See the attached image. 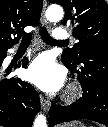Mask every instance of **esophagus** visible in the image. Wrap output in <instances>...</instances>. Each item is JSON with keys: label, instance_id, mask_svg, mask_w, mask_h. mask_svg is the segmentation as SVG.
<instances>
[{"label": "esophagus", "instance_id": "esophagus-1", "mask_svg": "<svg viewBox=\"0 0 108 127\" xmlns=\"http://www.w3.org/2000/svg\"><path fill=\"white\" fill-rule=\"evenodd\" d=\"M46 7H47V1L44 0L43 9H42V13H41V24L43 26L49 25V22L47 21L46 16H45ZM40 103H41V107H42L43 111L48 112L50 109V106H51V102L49 100H47L44 96L40 95Z\"/></svg>", "mask_w": 108, "mask_h": 127}]
</instances>
